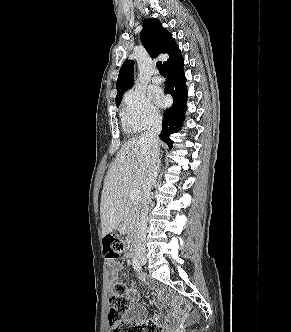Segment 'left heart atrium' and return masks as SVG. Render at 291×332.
Segmentation results:
<instances>
[{
	"label": "left heart atrium",
	"mask_w": 291,
	"mask_h": 332,
	"mask_svg": "<svg viewBox=\"0 0 291 332\" xmlns=\"http://www.w3.org/2000/svg\"><path fill=\"white\" fill-rule=\"evenodd\" d=\"M153 98H154V100L156 101V103L158 105H163V103H164V97L161 94V92H159V91L153 92Z\"/></svg>",
	"instance_id": "39dd6f15"
}]
</instances>
